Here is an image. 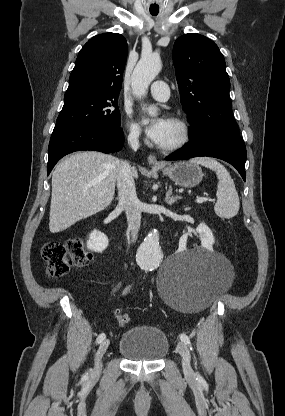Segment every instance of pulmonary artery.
<instances>
[{
	"label": "pulmonary artery",
	"mask_w": 285,
	"mask_h": 416,
	"mask_svg": "<svg viewBox=\"0 0 285 416\" xmlns=\"http://www.w3.org/2000/svg\"><path fill=\"white\" fill-rule=\"evenodd\" d=\"M166 86V82L162 80H157L150 86L151 94L157 102H167L169 100L170 88Z\"/></svg>",
	"instance_id": "obj_1"
}]
</instances>
